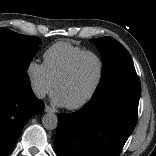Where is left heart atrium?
<instances>
[{
	"label": "left heart atrium",
	"mask_w": 156,
	"mask_h": 156,
	"mask_svg": "<svg viewBox=\"0 0 156 156\" xmlns=\"http://www.w3.org/2000/svg\"><path fill=\"white\" fill-rule=\"evenodd\" d=\"M54 103L59 105V106H65V103L63 102V100L61 99V97L55 93L54 97H53Z\"/></svg>",
	"instance_id": "left-heart-atrium-1"
}]
</instances>
